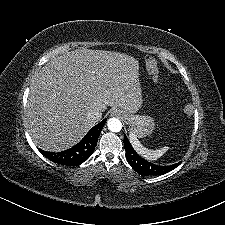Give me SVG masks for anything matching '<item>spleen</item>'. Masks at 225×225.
I'll use <instances>...</instances> for the list:
<instances>
[{"label":"spleen","instance_id":"3e777b00","mask_svg":"<svg viewBox=\"0 0 225 225\" xmlns=\"http://www.w3.org/2000/svg\"><path fill=\"white\" fill-rule=\"evenodd\" d=\"M129 140L130 143L132 145V147L134 148V150L140 155L142 156L144 159L148 160V161H154L157 160L158 158H160L164 153H166L169 149V147H162L160 149H156V150H150L146 147H144L140 141L138 140L137 136L133 133L129 134Z\"/></svg>","mask_w":225,"mask_h":225}]
</instances>
